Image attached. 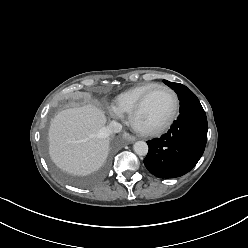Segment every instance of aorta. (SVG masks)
Instances as JSON below:
<instances>
[{
  "label": "aorta",
  "instance_id": "1",
  "mask_svg": "<svg viewBox=\"0 0 248 248\" xmlns=\"http://www.w3.org/2000/svg\"><path fill=\"white\" fill-rule=\"evenodd\" d=\"M134 152L137 155L145 156L148 153V145L144 141H137L133 145Z\"/></svg>",
  "mask_w": 248,
  "mask_h": 248
}]
</instances>
